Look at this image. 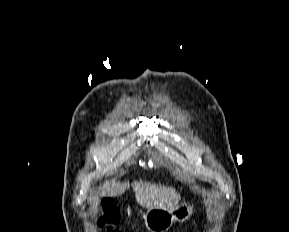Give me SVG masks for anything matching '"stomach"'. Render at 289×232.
<instances>
[{"mask_svg":"<svg viewBox=\"0 0 289 232\" xmlns=\"http://www.w3.org/2000/svg\"><path fill=\"white\" fill-rule=\"evenodd\" d=\"M192 213L191 205L188 202H181L172 208L148 209L143 218L150 232H166L175 221L183 222L189 219Z\"/></svg>","mask_w":289,"mask_h":232,"instance_id":"obj_1","label":"stomach"}]
</instances>
